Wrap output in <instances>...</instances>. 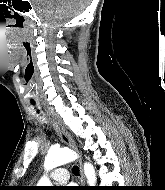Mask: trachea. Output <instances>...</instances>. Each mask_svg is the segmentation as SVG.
<instances>
[{"label": "trachea", "mask_w": 165, "mask_h": 190, "mask_svg": "<svg viewBox=\"0 0 165 190\" xmlns=\"http://www.w3.org/2000/svg\"><path fill=\"white\" fill-rule=\"evenodd\" d=\"M39 113V111H37ZM72 171L74 175L78 176L79 175V168L77 166H73Z\"/></svg>", "instance_id": "trachea-1"}]
</instances>
